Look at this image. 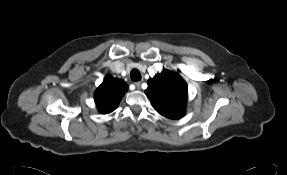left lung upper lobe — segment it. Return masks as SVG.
<instances>
[{
    "label": "left lung upper lobe",
    "mask_w": 287,
    "mask_h": 175,
    "mask_svg": "<svg viewBox=\"0 0 287 175\" xmlns=\"http://www.w3.org/2000/svg\"><path fill=\"white\" fill-rule=\"evenodd\" d=\"M145 94L159 114L170 119L185 115L188 87L176 72L165 70L149 79Z\"/></svg>",
    "instance_id": "left-lung-upper-lobe-1"
}]
</instances>
